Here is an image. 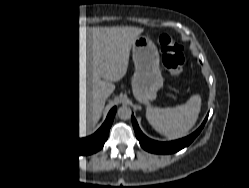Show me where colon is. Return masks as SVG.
I'll return each instance as SVG.
<instances>
[{
    "label": "colon",
    "instance_id": "1",
    "mask_svg": "<svg viewBox=\"0 0 249 188\" xmlns=\"http://www.w3.org/2000/svg\"><path fill=\"white\" fill-rule=\"evenodd\" d=\"M158 43L164 67L174 76H179L184 63V49L175 39L168 35H160Z\"/></svg>",
    "mask_w": 249,
    "mask_h": 188
}]
</instances>
